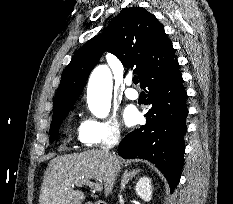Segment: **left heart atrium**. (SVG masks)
Listing matches in <instances>:
<instances>
[{
    "label": "left heart atrium",
    "mask_w": 233,
    "mask_h": 204,
    "mask_svg": "<svg viewBox=\"0 0 233 204\" xmlns=\"http://www.w3.org/2000/svg\"><path fill=\"white\" fill-rule=\"evenodd\" d=\"M123 121L127 126L135 125L139 120V112L133 106H128L123 111Z\"/></svg>",
    "instance_id": "left-heart-atrium-1"
}]
</instances>
